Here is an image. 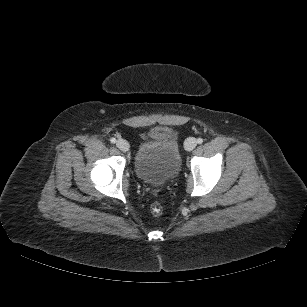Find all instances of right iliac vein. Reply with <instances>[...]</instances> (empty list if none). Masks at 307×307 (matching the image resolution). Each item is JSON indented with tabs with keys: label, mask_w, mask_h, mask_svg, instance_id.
Returning <instances> with one entry per match:
<instances>
[{
	"label": "right iliac vein",
	"mask_w": 307,
	"mask_h": 307,
	"mask_svg": "<svg viewBox=\"0 0 307 307\" xmlns=\"http://www.w3.org/2000/svg\"><path fill=\"white\" fill-rule=\"evenodd\" d=\"M116 145L122 152H127L130 147L129 143L123 139L118 140Z\"/></svg>",
	"instance_id": "63e3f726"
}]
</instances>
